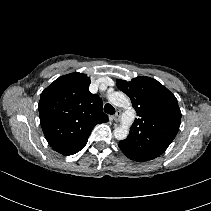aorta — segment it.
I'll return each mask as SVG.
<instances>
[{
    "instance_id": "1",
    "label": "aorta",
    "mask_w": 211,
    "mask_h": 211,
    "mask_svg": "<svg viewBox=\"0 0 211 211\" xmlns=\"http://www.w3.org/2000/svg\"><path fill=\"white\" fill-rule=\"evenodd\" d=\"M108 100L111 104L126 109L122 115L120 126L113 131V135L117 140H124L127 138L130 126L135 119V110L131 107L129 98L123 92L109 94Z\"/></svg>"
}]
</instances>
